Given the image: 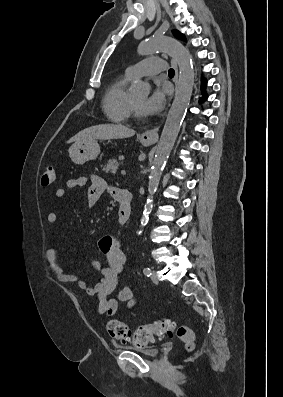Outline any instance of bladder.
Returning a JSON list of instances; mask_svg holds the SVG:
<instances>
[{
    "label": "bladder",
    "instance_id": "1",
    "mask_svg": "<svg viewBox=\"0 0 283 397\" xmlns=\"http://www.w3.org/2000/svg\"><path fill=\"white\" fill-rule=\"evenodd\" d=\"M120 348L141 354L146 357H155L159 352V350L156 347H137L134 345H124V346H120Z\"/></svg>",
    "mask_w": 283,
    "mask_h": 397
}]
</instances>
